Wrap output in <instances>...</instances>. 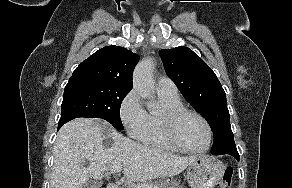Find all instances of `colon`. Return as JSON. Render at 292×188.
<instances>
[{"label": "colon", "instance_id": "1", "mask_svg": "<svg viewBox=\"0 0 292 188\" xmlns=\"http://www.w3.org/2000/svg\"><path fill=\"white\" fill-rule=\"evenodd\" d=\"M233 168L226 167L223 171L222 179L218 188H231L233 182Z\"/></svg>", "mask_w": 292, "mask_h": 188}]
</instances>
